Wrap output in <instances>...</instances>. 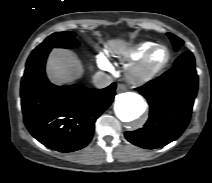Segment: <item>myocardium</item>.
<instances>
[{"instance_id": "1", "label": "myocardium", "mask_w": 212, "mask_h": 183, "mask_svg": "<svg viewBox=\"0 0 212 183\" xmlns=\"http://www.w3.org/2000/svg\"><path fill=\"white\" fill-rule=\"evenodd\" d=\"M164 48L167 51L166 60L158 67L147 69V63L152 53L158 49ZM172 58L171 50L164 44H155L147 50L139 59L134 61L127 70V79L134 85H143L155 79L160 75L170 64Z\"/></svg>"}]
</instances>
